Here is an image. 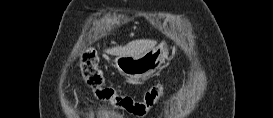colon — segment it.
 <instances>
[{"instance_id": "1", "label": "colon", "mask_w": 273, "mask_h": 118, "mask_svg": "<svg viewBox=\"0 0 273 118\" xmlns=\"http://www.w3.org/2000/svg\"><path fill=\"white\" fill-rule=\"evenodd\" d=\"M95 50L87 48L82 56V72L89 88L102 101L112 102L135 117L145 116L163 97L165 85L157 84L150 88L140 100L130 96H119L116 92L104 83V77L94 56Z\"/></svg>"}]
</instances>
